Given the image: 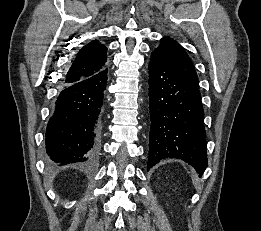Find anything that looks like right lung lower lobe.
<instances>
[{
  "label": "right lung lower lobe",
  "instance_id": "1",
  "mask_svg": "<svg viewBox=\"0 0 261 231\" xmlns=\"http://www.w3.org/2000/svg\"><path fill=\"white\" fill-rule=\"evenodd\" d=\"M107 67L67 84L56 98L46 129L50 165H67L93 158L99 145Z\"/></svg>",
  "mask_w": 261,
  "mask_h": 231
}]
</instances>
